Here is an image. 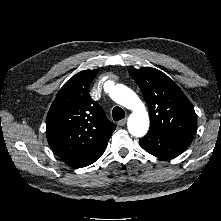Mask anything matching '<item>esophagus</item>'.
Wrapping results in <instances>:
<instances>
[{
    "mask_svg": "<svg viewBox=\"0 0 221 221\" xmlns=\"http://www.w3.org/2000/svg\"><path fill=\"white\" fill-rule=\"evenodd\" d=\"M126 122H127V119H126V118H125V119H122V120L118 121V125H119V126H124V125L126 124Z\"/></svg>",
    "mask_w": 221,
    "mask_h": 221,
    "instance_id": "esophagus-1",
    "label": "esophagus"
}]
</instances>
